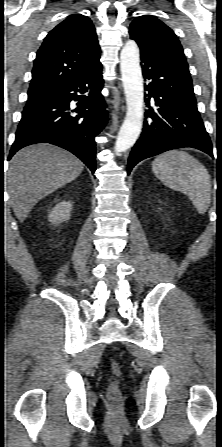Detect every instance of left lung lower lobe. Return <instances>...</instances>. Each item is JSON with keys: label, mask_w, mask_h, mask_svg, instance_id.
<instances>
[{"label": "left lung lower lobe", "mask_w": 222, "mask_h": 447, "mask_svg": "<svg viewBox=\"0 0 222 447\" xmlns=\"http://www.w3.org/2000/svg\"><path fill=\"white\" fill-rule=\"evenodd\" d=\"M149 93L141 137L128 159V174L141 160L167 150L192 147L213 157L212 144L197 109L192 80L176 64L140 47ZM150 98L157 108L150 107Z\"/></svg>", "instance_id": "1"}]
</instances>
